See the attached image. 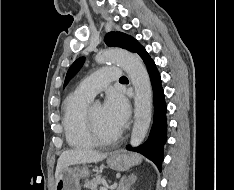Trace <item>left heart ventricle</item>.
Returning <instances> with one entry per match:
<instances>
[{"label":"left heart ventricle","mask_w":234,"mask_h":190,"mask_svg":"<svg viewBox=\"0 0 234 190\" xmlns=\"http://www.w3.org/2000/svg\"><path fill=\"white\" fill-rule=\"evenodd\" d=\"M90 111L95 123L103 134L111 135L119 130V128L107 118L103 105H94Z\"/></svg>","instance_id":"b2bd125f"}]
</instances>
